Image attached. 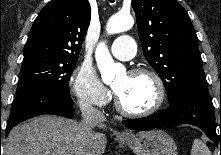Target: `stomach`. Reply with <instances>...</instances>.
Returning <instances> with one entry per match:
<instances>
[{
    "label": "stomach",
    "mask_w": 221,
    "mask_h": 155,
    "mask_svg": "<svg viewBox=\"0 0 221 155\" xmlns=\"http://www.w3.org/2000/svg\"><path fill=\"white\" fill-rule=\"evenodd\" d=\"M122 139L136 155H177L174 140L162 130L141 131Z\"/></svg>",
    "instance_id": "stomach-1"
}]
</instances>
